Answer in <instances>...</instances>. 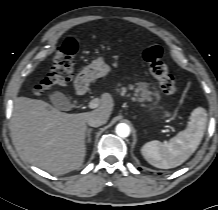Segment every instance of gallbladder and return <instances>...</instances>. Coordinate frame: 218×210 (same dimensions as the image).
Listing matches in <instances>:
<instances>
[{"mask_svg":"<svg viewBox=\"0 0 218 210\" xmlns=\"http://www.w3.org/2000/svg\"><path fill=\"white\" fill-rule=\"evenodd\" d=\"M49 98L52 104L58 109H63V103L68 104L67 98L62 93L57 91L50 94Z\"/></svg>","mask_w":218,"mask_h":210,"instance_id":"obj_1","label":"gallbladder"}]
</instances>
